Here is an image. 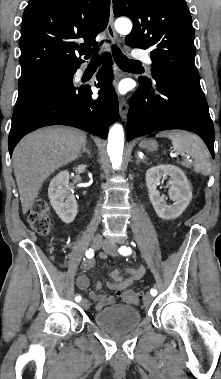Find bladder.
Wrapping results in <instances>:
<instances>
[{
	"instance_id": "obj_1",
	"label": "bladder",
	"mask_w": 221,
	"mask_h": 379,
	"mask_svg": "<svg viewBox=\"0 0 221 379\" xmlns=\"http://www.w3.org/2000/svg\"><path fill=\"white\" fill-rule=\"evenodd\" d=\"M93 322L104 332L121 336L138 327L141 313L135 307L116 304L94 313Z\"/></svg>"
}]
</instances>
